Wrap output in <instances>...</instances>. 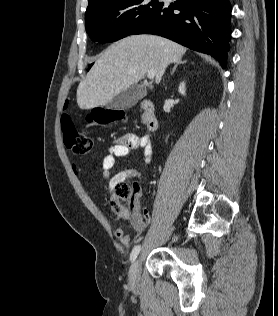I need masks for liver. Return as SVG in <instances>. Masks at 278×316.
I'll list each match as a JSON object with an SVG mask.
<instances>
[{"label":"liver","mask_w":278,"mask_h":316,"mask_svg":"<svg viewBox=\"0 0 278 316\" xmlns=\"http://www.w3.org/2000/svg\"><path fill=\"white\" fill-rule=\"evenodd\" d=\"M186 48L155 35H134L108 47L95 61L77 88L81 109L104 106L116 95L137 84L149 70L160 83L168 65L181 60Z\"/></svg>","instance_id":"6515ba94"}]
</instances>
